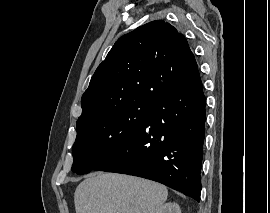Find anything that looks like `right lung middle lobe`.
<instances>
[{
  "label": "right lung middle lobe",
  "instance_id": "1",
  "mask_svg": "<svg viewBox=\"0 0 270 213\" xmlns=\"http://www.w3.org/2000/svg\"><path fill=\"white\" fill-rule=\"evenodd\" d=\"M154 105L136 101L78 122L72 171L86 174L110 158L140 129Z\"/></svg>",
  "mask_w": 270,
  "mask_h": 213
}]
</instances>
